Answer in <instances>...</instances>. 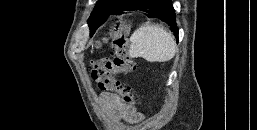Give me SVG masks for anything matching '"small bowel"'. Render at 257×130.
<instances>
[{
	"instance_id": "c3829d8e",
	"label": "small bowel",
	"mask_w": 257,
	"mask_h": 130,
	"mask_svg": "<svg viewBox=\"0 0 257 130\" xmlns=\"http://www.w3.org/2000/svg\"><path fill=\"white\" fill-rule=\"evenodd\" d=\"M102 99L104 102L110 104L120 118L125 119L128 122H136L140 119V115L136 113L134 107L117 104L111 96L106 94L102 95Z\"/></svg>"
}]
</instances>
